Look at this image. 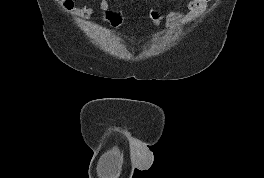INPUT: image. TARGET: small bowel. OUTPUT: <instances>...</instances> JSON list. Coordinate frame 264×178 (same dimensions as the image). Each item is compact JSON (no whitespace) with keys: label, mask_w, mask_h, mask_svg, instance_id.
I'll return each instance as SVG.
<instances>
[{"label":"small bowel","mask_w":264,"mask_h":178,"mask_svg":"<svg viewBox=\"0 0 264 178\" xmlns=\"http://www.w3.org/2000/svg\"><path fill=\"white\" fill-rule=\"evenodd\" d=\"M210 0H189L184 6L177 8L164 17V25L167 29L173 30L179 26L186 25L198 18L207 8ZM98 7L104 13L111 9L107 0H100ZM74 12L84 18H89L95 11L93 6H69Z\"/></svg>","instance_id":"small-bowel-1"}]
</instances>
